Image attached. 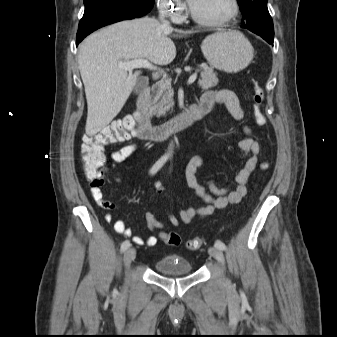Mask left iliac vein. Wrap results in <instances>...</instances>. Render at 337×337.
Returning a JSON list of instances; mask_svg holds the SVG:
<instances>
[{"label":"left iliac vein","mask_w":337,"mask_h":337,"mask_svg":"<svg viewBox=\"0 0 337 337\" xmlns=\"http://www.w3.org/2000/svg\"><path fill=\"white\" fill-rule=\"evenodd\" d=\"M209 254L211 256H213L221 265H224L225 264V258H224V255H223V252L216 248V247H211L209 248L208 250ZM227 283H229L228 280H226Z\"/></svg>","instance_id":"1"}]
</instances>
